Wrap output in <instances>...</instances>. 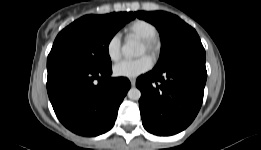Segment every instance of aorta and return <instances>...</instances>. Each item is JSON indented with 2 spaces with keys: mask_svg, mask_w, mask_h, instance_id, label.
<instances>
[{
  "mask_svg": "<svg viewBox=\"0 0 261 150\" xmlns=\"http://www.w3.org/2000/svg\"><path fill=\"white\" fill-rule=\"evenodd\" d=\"M122 53L127 58L138 57L144 53V48L138 42L127 41L122 46ZM127 96L130 100L136 101L140 99L141 92L138 88L133 87L128 91Z\"/></svg>",
  "mask_w": 261,
  "mask_h": 150,
  "instance_id": "762f6f07",
  "label": "aorta"
}]
</instances>
